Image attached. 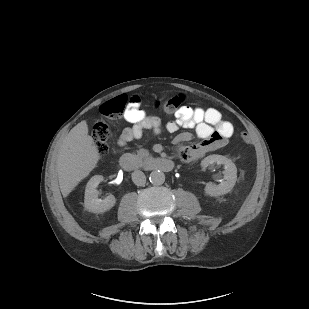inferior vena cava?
<instances>
[{
	"mask_svg": "<svg viewBox=\"0 0 309 309\" xmlns=\"http://www.w3.org/2000/svg\"><path fill=\"white\" fill-rule=\"evenodd\" d=\"M132 181L137 185V186H143L146 183V176L145 174L140 171H134L132 173Z\"/></svg>",
	"mask_w": 309,
	"mask_h": 309,
	"instance_id": "inferior-vena-cava-1",
	"label": "inferior vena cava"
}]
</instances>
